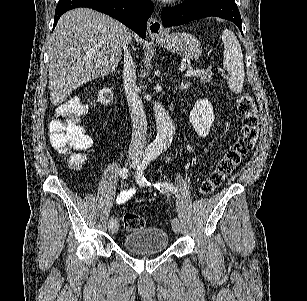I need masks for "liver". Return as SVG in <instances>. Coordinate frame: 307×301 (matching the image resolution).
<instances>
[{
    "instance_id": "6515ba94",
    "label": "liver",
    "mask_w": 307,
    "mask_h": 301,
    "mask_svg": "<svg viewBox=\"0 0 307 301\" xmlns=\"http://www.w3.org/2000/svg\"><path fill=\"white\" fill-rule=\"evenodd\" d=\"M130 38L127 26L92 8L62 14L48 48L52 104H62L78 86L113 72Z\"/></svg>"
}]
</instances>
